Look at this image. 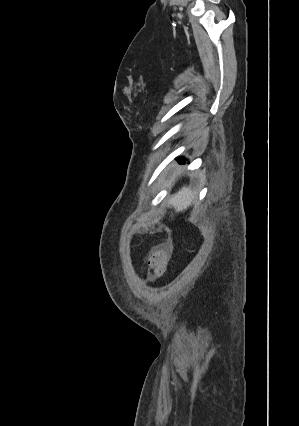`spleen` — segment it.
<instances>
[{
    "label": "spleen",
    "mask_w": 299,
    "mask_h": 426,
    "mask_svg": "<svg viewBox=\"0 0 299 426\" xmlns=\"http://www.w3.org/2000/svg\"><path fill=\"white\" fill-rule=\"evenodd\" d=\"M195 195L189 187H183L176 193L170 200V204L175 208L176 211H182L186 209L194 200Z\"/></svg>",
    "instance_id": "spleen-1"
}]
</instances>
